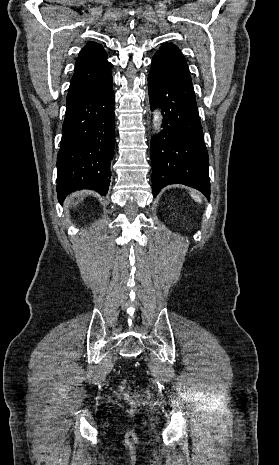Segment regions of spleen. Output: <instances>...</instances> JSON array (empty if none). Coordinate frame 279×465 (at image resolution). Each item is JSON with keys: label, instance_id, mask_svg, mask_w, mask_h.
<instances>
[{"label": "spleen", "instance_id": "spleen-1", "mask_svg": "<svg viewBox=\"0 0 279 465\" xmlns=\"http://www.w3.org/2000/svg\"><path fill=\"white\" fill-rule=\"evenodd\" d=\"M191 196H192V198H193L196 202L201 203V198H200V196L195 195L194 193H191Z\"/></svg>", "mask_w": 279, "mask_h": 465}]
</instances>
